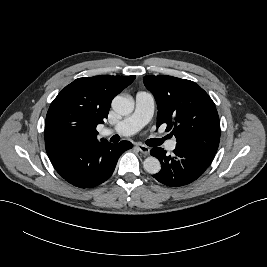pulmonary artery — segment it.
Instances as JSON below:
<instances>
[{
	"label": "pulmonary artery",
	"mask_w": 267,
	"mask_h": 267,
	"mask_svg": "<svg viewBox=\"0 0 267 267\" xmlns=\"http://www.w3.org/2000/svg\"><path fill=\"white\" fill-rule=\"evenodd\" d=\"M154 97L151 93L140 91L135 96V110L134 112L120 121L112 128H105L102 131L103 135L117 134L120 136H130L138 132L144 125H146L153 114ZM176 139H172L166 143V148L173 151L176 148Z\"/></svg>",
	"instance_id": "pulmonary-artery-1"
}]
</instances>
